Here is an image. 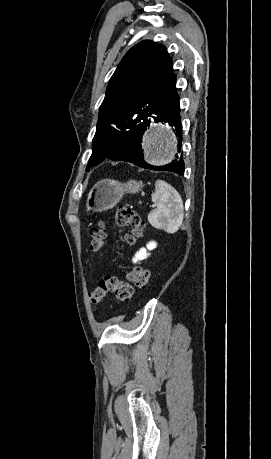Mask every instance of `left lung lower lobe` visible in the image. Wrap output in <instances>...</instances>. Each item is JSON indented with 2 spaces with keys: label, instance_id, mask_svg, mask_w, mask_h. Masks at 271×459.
I'll return each instance as SVG.
<instances>
[{
  "label": "left lung lower lobe",
  "instance_id": "1",
  "mask_svg": "<svg viewBox=\"0 0 271 459\" xmlns=\"http://www.w3.org/2000/svg\"><path fill=\"white\" fill-rule=\"evenodd\" d=\"M152 99V106L146 113L131 120L114 134L111 150L104 161H128L145 169L171 171L182 175L184 162L181 156L176 154L175 159L165 166H152L144 161L140 144L143 133L151 123L168 122L175 130L178 152H181L182 124L174 73L164 78L162 84L154 90Z\"/></svg>",
  "mask_w": 271,
  "mask_h": 459
}]
</instances>
